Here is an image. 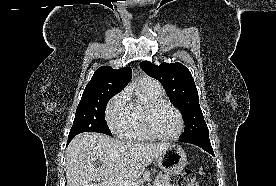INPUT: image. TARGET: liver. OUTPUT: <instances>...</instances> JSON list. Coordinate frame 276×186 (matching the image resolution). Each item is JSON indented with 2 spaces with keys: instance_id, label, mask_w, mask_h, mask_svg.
Listing matches in <instances>:
<instances>
[{
  "instance_id": "6515ba94",
  "label": "liver",
  "mask_w": 276,
  "mask_h": 186,
  "mask_svg": "<svg viewBox=\"0 0 276 186\" xmlns=\"http://www.w3.org/2000/svg\"><path fill=\"white\" fill-rule=\"evenodd\" d=\"M168 145L134 143L94 132L82 133L66 150L67 186H103L110 181L132 183ZM97 161L101 166H96Z\"/></svg>"
}]
</instances>
